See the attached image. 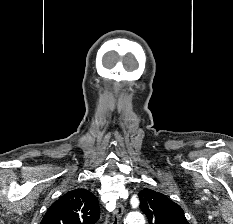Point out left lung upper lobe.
Here are the masks:
<instances>
[{"label":"left lung upper lobe","mask_w":233,"mask_h":224,"mask_svg":"<svg viewBox=\"0 0 233 224\" xmlns=\"http://www.w3.org/2000/svg\"><path fill=\"white\" fill-rule=\"evenodd\" d=\"M138 196L150 224H189L183 209L167 196L151 189H143Z\"/></svg>","instance_id":"5c2ea615"}]
</instances>
